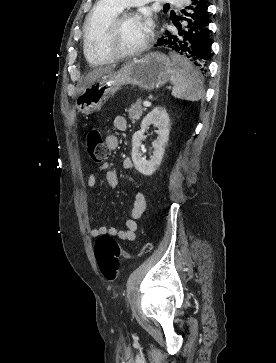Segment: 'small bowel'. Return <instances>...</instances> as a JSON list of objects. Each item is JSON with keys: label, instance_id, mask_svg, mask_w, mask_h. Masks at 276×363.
I'll return each mask as SVG.
<instances>
[{"label": "small bowel", "instance_id": "1", "mask_svg": "<svg viewBox=\"0 0 276 363\" xmlns=\"http://www.w3.org/2000/svg\"><path fill=\"white\" fill-rule=\"evenodd\" d=\"M113 125L117 130L123 131L127 127V121L123 116H115L113 118ZM106 145L109 149L114 150L119 146V137L117 134H109L106 136ZM123 167L127 170L133 169V162L130 158H125L123 161ZM100 170L105 171V182L110 188H116L119 185L118 173L109 169V165L104 163L100 166ZM97 178L94 173L90 174L87 179V186L93 189L96 186ZM146 207V198L142 192H136L134 197V203L131 208L130 217L126 220L125 228L118 230L111 227H92L90 229V235L97 237L103 234H109L117 237L121 241L133 242L136 240L137 232L139 229V219L142 216ZM93 217H89V221L92 222Z\"/></svg>", "mask_w": 276, "mask_h": 363}]
</instances>
